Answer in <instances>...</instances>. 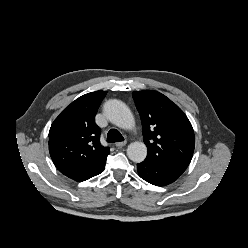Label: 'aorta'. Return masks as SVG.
Segmentation results:
<instances>
[{"label":"aorta","mask_w":248,"mask_h":248,"mask_svg":"<svg viewBox=\"0 0 248 248\" xmlns=\"http://www.w3.org/2000/svg\"><path fill=\"white\" fill-rule=\"evenodd\" d=\"M106 117L116 126L132 129L135 126L134 117L128 106L117 99L108 100L104 104ZM127 156L135 163L142 162L147 156V147L143 142H133L127 148Z\"/></svg>","instance_id":"aorta-1"}]
</instances>
